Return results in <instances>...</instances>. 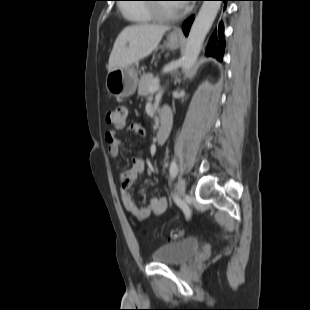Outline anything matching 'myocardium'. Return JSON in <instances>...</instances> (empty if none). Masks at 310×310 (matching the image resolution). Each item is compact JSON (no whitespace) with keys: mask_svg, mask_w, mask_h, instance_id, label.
<instances>
[{"mask_svg":"<svg viewBox=\"0 0 310 310\" xmlns=\"http://www.w3.org/2000/svg\"><path fill=\"white\" fill-rule=\"evenodd\" d=\"M154 18L160 21L171 20L177 18L181 12L178 10L175 11H167L163 4L153 5L151 8Z\"/></svg>","mask_w":310,"mask_h":310,"instance_id":"f54148a6","label":"myocardium"}]
</instances>
